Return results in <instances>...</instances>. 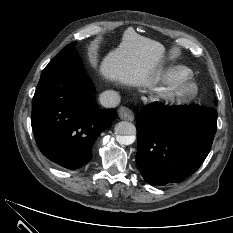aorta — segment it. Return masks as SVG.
<instances>
[{
  "label": "aorta",
  "instance_id": "aorta-1",
  "mask_svg": "<svg viewBox=\"0 0 233 233\" xmlns=\"http://www.w3.org/2000/svg\"><path fill=\"white\" fill-rule=\"evenodd\" d=\"M115 133L120 144L130 145L135 141L136 127L131 122L122 121L116 124Z\"/></svg>",
  "mask_w": 233,
  "mask_h": 233
}]
</instances>
